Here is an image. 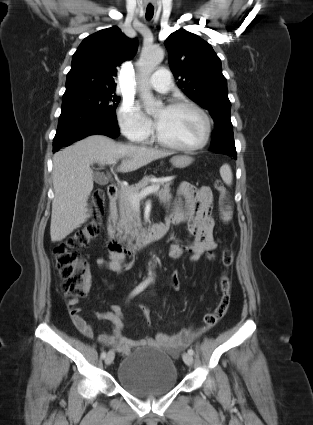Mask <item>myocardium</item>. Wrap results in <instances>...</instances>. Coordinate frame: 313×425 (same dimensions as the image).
<instances>
[{
  "instance_id": "obj_1",
  "label": "myocardium",
  "mask_w": 313,
  "mask_h": 425,
  "mask_svg": "<svg viewBox=\"0 0 313 425\" xmlns=\"http://www.w3.org/2000/svg\"><path fill=\"white\" fill-rule=\"evenodd\" d=\"M168 109H181V108H187V109H191L193 111H195L196 113H198L204 123V133H203V137L201 139V141L194 145V146H181V145H176L173 143H170L166 140H164L159 133L157 132V130H155L154 134H153V138L155 140L156 143H158L159 145L171 149V150H175V151H179V152H184V153H193L196 151H199L201 149H203L209 142L210 137H211V132H212V124H211V119L209 117V115L206 113V111L201 108L199 105H197L194 102L191 101H176L173 102L171 104H169L167 106Z\"/></svg>"
}]
</instances>
